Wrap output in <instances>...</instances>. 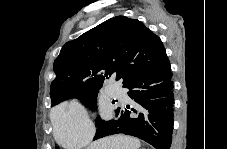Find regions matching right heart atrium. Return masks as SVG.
<instances>
[{
    "label": "right heart atrium",
    "mask_w": 227,
    "mask_h": 149,
    "mask_svg": "<svg viewBox=\"0 0 227 149\" xmlns=\"http://www.w3.org/2000/svg\"><path fill=\"white\" fill-rule=\"evenodd\" d=\"M51 118L54 136L61 145L85 146L92 140L95 128L80 101L72 100L60 104Z\"/></svg>",
    "instance_id": "right-heart-atrium-1"
}]
</instances>
